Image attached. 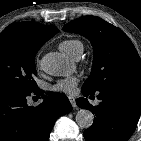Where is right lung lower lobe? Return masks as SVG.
<instances>
[{
	"instance_id": "98d812e1",
	"label": "right lung lower lobe",
	"mask_w": 141,
	"mask_h": 141,
	"mask_svg": "<svg viewBox=\"0 0 141 141\" xmlns=\"http://www.w3.org/2000/svg\"><path fill=\"white\" fill-rule=\"evenodd\" d=\"M36 89L33 92L0 90V141H47L55 121L72 107L68 98L58 92ZM42 95L43 102L29 107L28 96Z\"/></svg>"
}]
</instances>
